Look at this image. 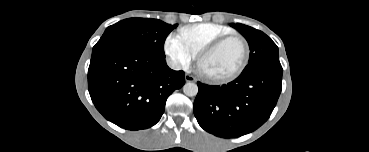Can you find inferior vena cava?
Segmentation results:
<instances>
[{"label":"inferior vena cava","mask_w":369,"mask_h":152,"mask_svg":"<svg viewBox=\"0 0 369 152\" xmlns=\"http://www.w3.org/2000/svg\"><path fill=\"white\" fill-rule=\"evenodd\" d=\"M167 64L168 66L173 69V70H181L182 69V66L181 64L177 63L176 61H173L171 59H168L167 60Z\"/></svg>","instance_id":"inferior-vena-cava-1"}]
</instances>
